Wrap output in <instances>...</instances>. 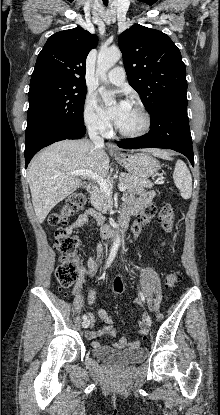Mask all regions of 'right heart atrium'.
I'll use <instances>...</instances> for the list:
<instances>
[{
	"label": "right heart atrium",
	"mask_w": 220,
	"mask_h": 415,
	"mask_svg": "<svg viewBox=\"0 0 220 415\" xmlns=\"http://www.w3.org/2000/svg\"><path fill=\"white\" fill-rule=\"evenodd\" d=\"M83 120L86 127L97 134H106L109 128L106 120L99 113L96 100L92 94H88L84 101Z\"/></svg>",
	"instance_id": "right-heart-atrium-1"
}]
</instances>
